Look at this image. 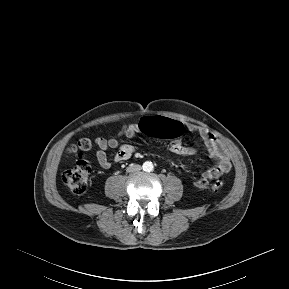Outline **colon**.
I'll use <instances>...</instances> for the list:
<instances>
[{
  "instance_id": "1",
  "label": "colon",
  "mask_w": 289,
  "mask_h": 289,
  "mask_svg": "<svg viewBox=\"0 0 289 289\" xmlns=\"http://www.w3.org/2000/svg\"><path fill=\"white\" fill-rule=\"evenodd\" d=\"M138 129L144 135L169 138H174L184 132V128L178 119L165 116H145L140 120ZM92 147V141L88 138H83L69 148V151L77 153L79 158L75 165L64 173L63 181L75 194L84 193L88 187L91 169L89 163L84 159V155ZM223 185L224 182L222 180H217L212 184V188L218 190Z\"/></svg>"
}]
</instances>
